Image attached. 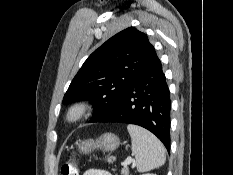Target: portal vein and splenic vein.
<instances>
[{
    "instance_id": "obj_1",
    "label": "portal vein and splenic vein",
    "mask_w": 233,
    "mask_h": 175,
    "mask_svg": "<svg viewBox=\"0 0 233 175\" xmlns=\"http://www.w3.org/2000/svg\"><path fill=\"white\" fill-rule=\"evenodd\" d=\"M132 161H133V159H132L131 157H128V158L123 162V165H124V166H127V165H129Z\"/></svg>"
}]
</instances>
